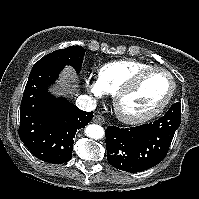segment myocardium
I'll list each match as a JSON object with an SVG mask.
<instances>
[{
    "label": "myocardium",
    "instance_id": "myocardium-1",
    "mask_svg": "<svg viewBox=\"0 0 199 199\" xmlns=\"http://www.w3.org/2000/svg\"><path fill=\"white\" fill-rule=\"evenodd\" d=\"M154 72L164 73L170 79L171 86H170V90H169L167 96L163 99V101L156 108H154L153 110H151L147 113L140 114V115H129V114L125 113L121 108V100L126 95L133 92L137 88L139 82L141 81V79L143 77H145L146 75H148L150 73H154ZM175 90H176L175 78L169 70H167L163 67H157V66H151V67L141 69V70L137 71L136 73H134L113 94V105H114L115 113H116L117 117L119 118V120H121L122 122H124L126 124L134 125V124L145 123V122L155 118L166 108V106L169 104L172 97L174 96Z\"/></svg>",
    "mask_w": 199,
    "mask_h": 199
}]
</instances>
